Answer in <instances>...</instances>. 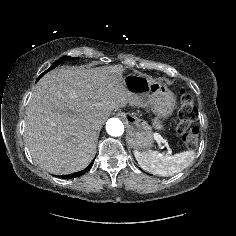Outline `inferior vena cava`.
I'll use <instances>...</instances> for the list:
<instances>
[{
    "label": "inferior vena cava",
    "mask_w": 236,
    "mask_h": 236,
    "mask_svg": "<svg viewBox=\"0 0 236 236\" xmlns=\"http://www.w3.org/2000/svg\"><path fill=\"white\" fill-rule=\"evenodd\" d=\"M99 122H97V121H95V122H93V124H92V127L93 128H99Z\"/></svg>",
    "instance_id": "602c4592"
}]
</instances>
